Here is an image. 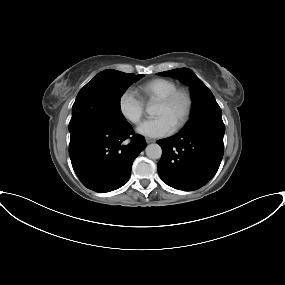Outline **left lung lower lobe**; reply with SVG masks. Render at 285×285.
<instances>
[{
  "mask_svg": "<svg viewBox=\"0 0 285 285\" xmlns=\"http://www.w3.org/2000/svg\"><path fill=\"white\" fill-rule=\"evenodd\" d=\"M223 122L204 121L157 143L162 157L157 165L167 185L184 191L196 190L216 174L223 157Z\"/></svg>",
  "mask_w": 285,
  "mask_h": 285,
  "instance_id": "obj_1",
  "label": "left lung lower lobe"
}]
</instances>
